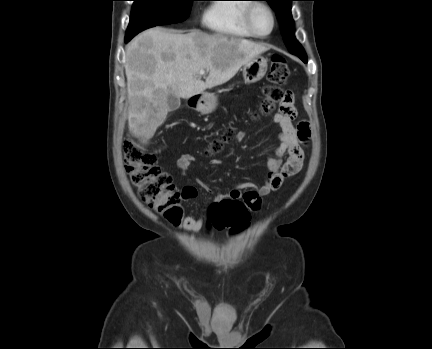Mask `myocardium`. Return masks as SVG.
Instances as JSON below:
<instances>
[{"mask_svg": "<svg viewBox=\"0 0 432 349\" xmlns=\"http://www.w3.org/2000/svg\"><path fill=\"white\" fill-rule=\"evenodd\" d=\"M258 7L265 8L269 12V14L272 18V27H271L270 31L266 34L258 33L253 26L252 15H253L254 10ZM243 23H244L245 28L248 30V32L253 37L259 38V39H265V38L269 37L273 33V31L275 30L276 25H277V18H276V14H275L273 8L269 4H267L266 2H262V1H255V2L249 3L246 6V8L244 10V15H243Z\"/></svg>", "mask_w": 432, "mask_h": 349, "instance_id": "f54148a6", "label": "myocardium"}]
</instances>
